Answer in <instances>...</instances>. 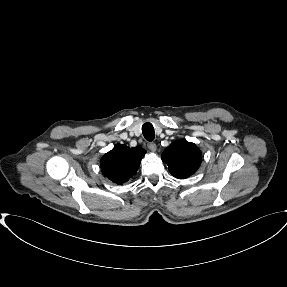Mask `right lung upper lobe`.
<instances>
[{
  "instance_id": "obj_1",
  "label": "right lung upper lobe",
  "mask_w": 287,
  "mask_h": 287,
  "mask_svg": "<svg viewBox=\"0 0 287 287\" xmlns=\"http://www.w3.org/2000/svg\"><path fill=\"white\" fill-rule=\"evenodd\" d=\"M145 153L146 151L141 147L129 148L126 145L117 144L102 157L101 170L105 177L122 185L136 173Z\"/></svg>"
}]
</instances>
